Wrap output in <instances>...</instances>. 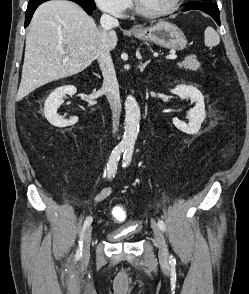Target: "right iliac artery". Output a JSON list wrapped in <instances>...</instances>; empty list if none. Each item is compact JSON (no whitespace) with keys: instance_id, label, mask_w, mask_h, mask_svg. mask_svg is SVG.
<instances>
[{"instance_id":"right-iliac-artery-1","label":"right iliac artery","mask_w":249,"mask_h":294,"mask_svg":"<svg viewBox=\"0 0 249 294\" xmlns=\"http://www.w3.org/2000/svg\"><path fill=\"white\" fill-rule=\"evenodd\" d=\"M126 146L119 144L117 145L114 150L112 151L109 161L107 163V177L110 179L115 176V173L117 171V165L120 159V156L125 151ZM92 223V217L88 216L84 222L82 232L80 234V239L78 241V248L75 254L76 260H79L82 256V247H83V233L85 229Z\"/></svg>"}]
</instances>
